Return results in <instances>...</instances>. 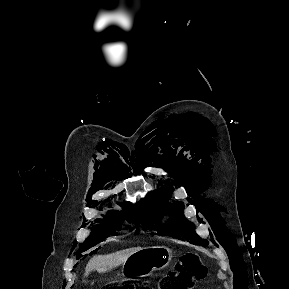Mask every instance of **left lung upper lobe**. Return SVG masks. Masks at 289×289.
Returning a JSON list of instances; mask_svg holds the SVG:
<instances>
[{
    "label": "left lung upper lobe",
    "mask_w": 289,
    "mask_h": 289,
    "mask_svg": "<svg viewBox=\"0 0 289 289\" xmlns=\"http://www.w3.org/2000/svg\"><path fill=\"white\" fill-rule=\"evenodd\" d=\"M169 199L170 191L163 187L149 193L146 199L141 201L143 229L154 230V234L186 240L195 245H206L207 242L196 234L194 224L185 218L183 203L173 201L174 204H170ZM168 213L169 221L161 226L162 217Z\"/></svg>",
    "instance_id": "1"
}]
</instances>
